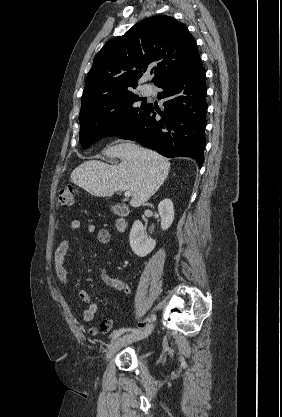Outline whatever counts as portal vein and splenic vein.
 Instances as JSON below:
<instances>
[{
	"label": "portal vein and splenic vein",
	"mask_w": 282,
	"mask_h": 417,
	"mask_svg": "<svg viewBox=\"0 0 282 417\" xmlns=\"http://www.w3.org/2000/svg\"><path fill=\"white\" fill-rule=\"evenodd\" d=\"M124 194L125 196H131L132 192L131 190H125Z\"/></svg>",
	"instance_id": "18ae733b"
}]
</instances>
